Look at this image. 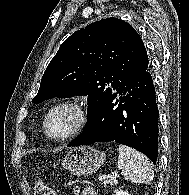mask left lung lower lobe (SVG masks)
<instances>
[{
	"mask_svg": "<svg viewBox=\"0 0 189 195\" xmlns=\"http://www.w3.org/2000/svg\"><path fill=\"white\" fill-rule=\"evenodd\" d=\"M158 116L153 80L147 68L118 87L68 146L114 141L142 152L155 164Z\"/></svg>",
	"mask_w": 189,
	"mask_h": 195,
	"instance_id": "1",
	"label": "left lung lower lobe"
}]
</instances>
